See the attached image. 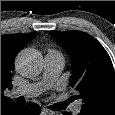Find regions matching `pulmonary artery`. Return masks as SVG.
<instances>
[{
  "label": "pulmonary artery",
  "mask_w": 115,
  "mask_h": 115,
  "mask_svg": "<svg viewBox=\"0 0 115 115\" xmlns=\"http://www.w3.org/2000/svg\"><path fill=\"white\" fill-rule=\"evenodd\" d=\"M64 57L56 51H49L44 59L43 81L40 83L28 84L16 89L13 94L15 96L33 97L42 92V90L53 83L64 67ZM81 109V102H77L72 106L74 113H78Z\"/></svg>",
  "instance_id": "pulmonary-artery-1"
}]
</instances>
